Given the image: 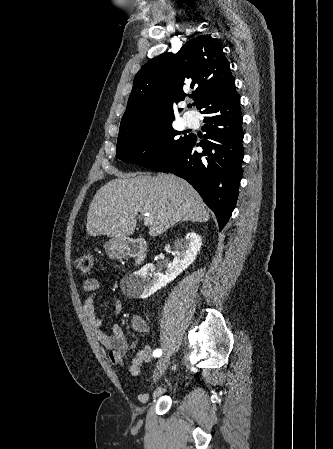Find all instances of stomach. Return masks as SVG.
Wrapping results in <instances>:
<instances>
[{"instance_id":"stomach-1","label":"stomach","mask_w":333,"mask_h":449,"mask_svg":"<svg viewBox=\"0 0 333 449\" xmlns=\"http://www.w3.org/2000/svg\"><path fill=\"white\" fill-rule=\"evenodd\" d=\"M106 253L111 258H118L125 254L123 242L121 240L112 239L104 245Z\"/></svg>"}]
</instances>
